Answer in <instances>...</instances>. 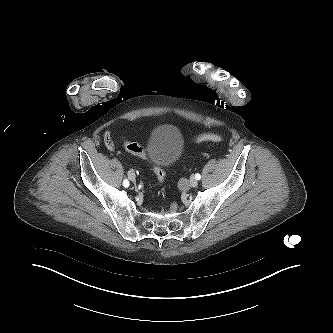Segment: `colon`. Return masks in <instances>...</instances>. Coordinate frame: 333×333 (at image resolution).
Masks as SVG:
<instances>
[{"instance_id": "1", "label": "colon", "mask_w": 333, "mask_h": 333, "mask_svg": "<svg viewBox=\"0 0 333 333\" xmlns=\"http://www.w3.org/2000/svg\"><path fill=\"white\" fill-rule=\"evenodd\" d=\"M221 141H222V137L217 134H213V133L203 134L196 138V142H221ZM124 147L128 152H130L134 155H137L144 159L147 158V153H146L145 149L137 142L126 141L124 143ZM154 173H155V176H156L158 182L160 184H163L165 181L164 170L161 167L154 166Z\"/></svg>"}]
</instances>
